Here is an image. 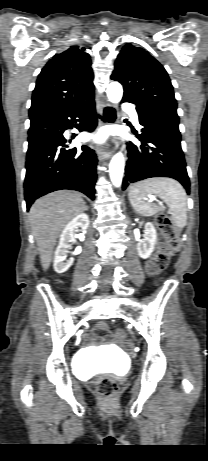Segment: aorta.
Segmentation results:
<instances>
[{"mask_svg": "<svg viewBox=\"0 0 208 461\" xmlns=\"http://www.w3.org/2000/svg\"><path fill=\"white\" fill-rule=\"evenodd\" d=\"M107 97L111 103L117 104L123 96L122 85L118 82H111L107 87ZM125 160L121 152L116 153L109 164V175L112 184L115 187H120L124 174Z\"/></svg>", "mask_w": 208, "mask_h": 461, "instance_id": "1", "label": "aorta"}]
</instances>
